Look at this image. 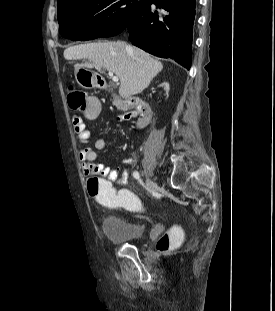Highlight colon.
I'll return each mask as SVG.
<instances>
[{"label": "colon", "mask_w": 275, "mask_h": 311, "mask_svg": "<svg viewBox=\"0 0 275 311\" xmlns=\"http://www.w3.org/2000/svg\"><path fill=\"white\" fill-rule=\"evenodd\" d=\"M69 106L80 112L84 121H91L101 112L100 102L96 97H86L85 93L79 90L70 89L68 96ZM88 191L95 202H102L109 205H118L127 210L141 208V202L135 197V190H116L115 183L110 178H103L102 175H93L88 182ZM181 239L179 230L176 227L170 228L162 234L156 244L159 252H167L174 248Z\"/></svg>", "instance_id": "colon-1"}]
</instances>
